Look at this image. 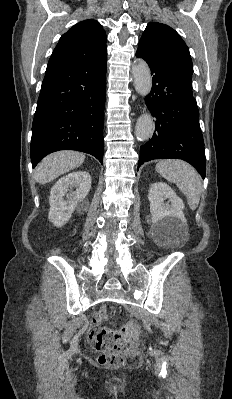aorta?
I'll return each mask as SVG.
<instances>
[{
  "label": "aorta",
  "mask_w": 232,
  "mask_h": 399,
  "mask_svg": "<svg viewBox=\"0 0 232 399\" xmlns=\"http://www.w3.org/2000/svg\"><path fill=\"white\" fill-rule=\"evenodd\" d=\"M132 75L134 77V87L142 97L147 96L152 87L151 73L148 64L138 59L132 67ZM154 130V122L149 112L143 113L137 120L135 135L138 141L148 140Z\"/></svg>",
  "instance_id": "aorta-1"
}]
</instances>
